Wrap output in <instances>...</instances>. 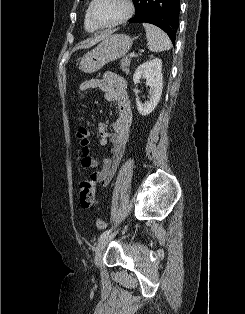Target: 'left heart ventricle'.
I'll list each match as a JSON object with an SVG mask.
<instances>
[{
    "instance_id": "1",
    "label": "left heart ventricle",
    "mask_w": 245,
    "mask_h": 314,
    "mask_svg": "<svg viewBox=\"0 0 245 314\" xmlns=\"http://www.w3.org/2000/svg\"><path fill=\"white\" fill-rule=\"evenodd\" d=\"M125 11L123 0H97L93 15L102 24L111 23L118 19Z\"/></svg>"
}]
</instances>
